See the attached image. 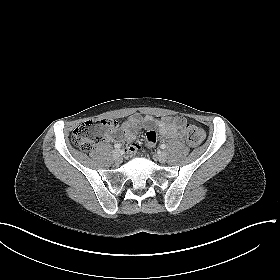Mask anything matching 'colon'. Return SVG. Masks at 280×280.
Wrapping results in <instances>:
<instances>
[{
    "label": "colon",
    "mask_w": 280,
    "mask_h": 280,
    "mask_svg": "<svg viewBox=\"0 0 280 280\" xmlns=\"http://www.w3.org/2000/svg\"><path fill=\"white\" fill-rule=\"evenodd\" d=\"M114 126L115 121L111 119L88 120L74 130L71 137L72 143L82 151L90 152ZM185 134L191 146L201 144L205 138L204 131L194 124L185 127Z\"/></svg>",
    "instance_id": "5ec220e1"
}]
</instances>
